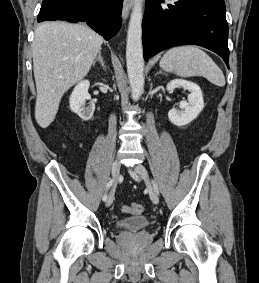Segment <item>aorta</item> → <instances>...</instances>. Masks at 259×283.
<instances>
[{
    "instance_id": "aorta-1",
    "label": "aorta",
    "mask_w": 259,
    "mask_h": 283,
    "mask_svg": "<svg viewBox=\"0 0 259 283\" xmlns=\"http://www.w3.org/2000/svg\"><path fill=\"white\" fill-rule=\"evenodd\" d=\"M143 1L134 0L126 39L127 73L131 88V97L134 101L139 100L141 97L145 83L142 47Z\"/></svg>"
}]
</instances>
